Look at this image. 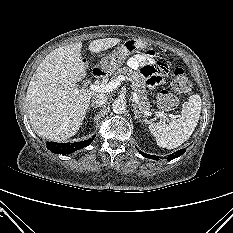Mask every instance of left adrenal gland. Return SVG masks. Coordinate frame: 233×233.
Listing matches in <instances>:
<instances>
[{
    "instance_id": "1",
    "label": "left adrenal gland",
    "mask_w": 233,
    "mask_h": 233,
    "mask_svg": "<svg viewBox=\"0 0 233 233\" xmlns=\"http://www.w3.org/2000/svg\"><path fill=\"white\" fill-rule=\"evenodd\" d=\"M132 107H133V111H134V117H135V119H140V115H139V112H138V107L136 106V104L132 101ZM144 121V120H143Z\"/></svg>"
}]
</instances>
